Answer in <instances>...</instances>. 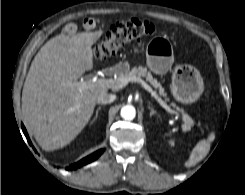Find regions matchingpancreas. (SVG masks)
Here are the masks:
<instances>
[{"instance_id": "cf45deb5", "label": "pancreas", "mask_w": 245, "mask_h": 195, "mask_svg": "<svg viewBox=\"0 0 245 195\" xmlns=\"http://www.w3.org/2000/svg\"><path fill=\"white\" fill-rule=\"evenodd\" d=\"M133 76L138 77H144L147 82H149L154 88L159 90V94L163 96L166 100H169L167 98L166 93L164 92V88L161 86V84L155 79L150 72L147 71V68L139 66L132 68L131 71H126L125 73L119 74V77L117 78V82H120L123 79H128ZM173 107H175L178 111H180L183 115V129L185 131H189L191 127L194 125V121L190 116L184 113V111L180 108H178L174 103H171Z\"/></svg>"}]
</instances>
